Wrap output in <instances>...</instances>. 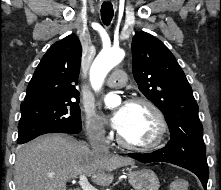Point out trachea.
I'll return each mask as SVG.
<instances>
[{
  "mask_svg": "<svg viewBox=\"0 0 221 190\" xmlns=\"http://www.w3.org/2000/svg\"><path fill=\"white\" fill-rule=\"evenodd\" d=\"M113 6L110 2H104L101 6V19L108 26L113 18Z\"/></svg>",
  "mask_w": 221,
  "mask_h": 190,
  "instance_id": "obj_1",
  "label": "trachea"
}]
</instances>
